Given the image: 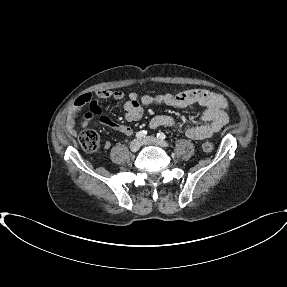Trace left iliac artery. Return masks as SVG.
I'll use <instances>...</instances> for the list:
<instances>
[{
    "mask_svg": "<svg viewBox=\"0 0 287 287\" xmlns=\"http://www.w3.org/2000/svg\"><path fill=\"white\" fill-rule=\"evenodd\" d=\"M157 138L163 140L166 138V135L162 132H159V133H157Z\"/></svg>",
    "mask_w": 287,
    "mask_h": 287,
    "instance_id": "44dca946",
    "label": "left iliac artery"
}]
</instances>
